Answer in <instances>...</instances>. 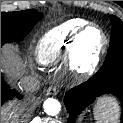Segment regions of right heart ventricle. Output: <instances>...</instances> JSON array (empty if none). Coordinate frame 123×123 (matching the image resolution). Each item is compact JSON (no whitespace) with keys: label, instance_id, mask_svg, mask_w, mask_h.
<instances>
[{"label":"right heart ventricle","instance_id":"e07e8e85","mask_svg":"<svg viewBox=\"0 0 123 123\" xmlns=\"http://www.w3.org/2000/svg\"><path fill=\"white\" fill-rule=\"evenodd\" d=\"M81 23L82 20L73 19L47 31L36 46L37 61L42 65H50L63 57L69 62L72 43L83 28Z\"/></svg>","mask_w":123,"mask_h":123}]
</instances>
